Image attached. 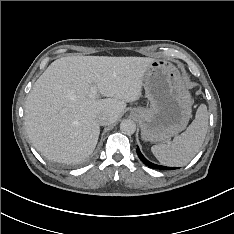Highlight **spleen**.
I'll return each mask as SVG.
<instances>
[{"label":"spleen","instance_id":"spleen-1","mask_svg":"<svg viewBox=\"0 0 234 234\" xmlns=\"http://www.w3.org/2000/svg\"><path fill=\"white\" fill-rule=\"evenodd\" d=\"M208 118L207 107L201 104L195 119L186 131L176 136L171 143L152 146L153 155L166 166L180 167L189 163L204 142L208 130Z\"/></svg>","mask_w":234,"mask_h":234}]
</instances>
